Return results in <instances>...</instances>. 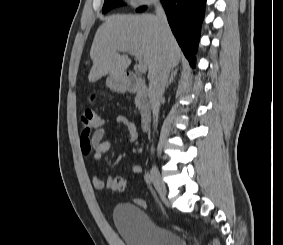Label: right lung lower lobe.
<instances>
[{
    "mask_svg": "<svg viewBox=\"0 0 283 245\" xmlns=\"http://www.w3.org/2000/svg\"><path fill=\"white\" fill-rule=\"evenodd\" d=\"M168 22L184 55L194 66L206 0H161ZM145 7L137 9L143 11Z\"/></svg>",
    "mask_w": 283,
    "mask_h": 245,
    "instance_id": "1",
    "label": "right lung lower lobe"
}]
</instances>
